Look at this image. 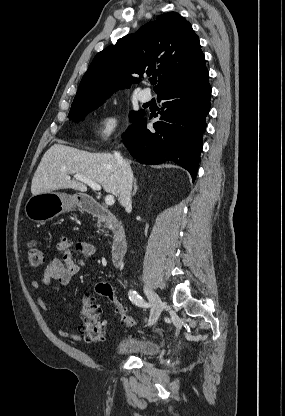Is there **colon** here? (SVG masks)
Instances as JSON below:
<instances>
[{
	"mask_svg": "<svg viewBox=\"0 0 285 416\" xmlns=\"http://www.w3.org/2000/svg\"><path fill=\"white\" fill-rule=\"evenodd\" d=\"M27 261L33 268L40 267L45 261V253L35 243L27 246ZM95 293L107 299L120 315L127 326H134L136 320L129 314L126 306L117 298L113 287L109 283L99 282L95 286ZM80 332L86 343L102 342L106 333V322L102 319V310L95 303L93 296L85 295L82 304V323Z\"/></svg>",
	"mask_w": 285,
	"mask_h": 416,
	"instance_id": "5ec220e1",
	"label": "colon"
}]
</instances>
